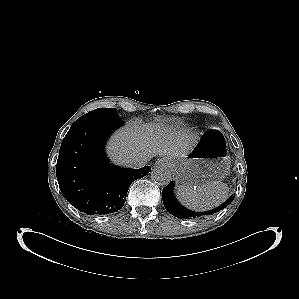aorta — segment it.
Segmentation results:
<instances>
[{
	"mask_svg": "<svg viewBox=\"0 0 299 299\" xmlns=\"http://www.w3.org/2000/svg\"><path fill=\"white\" fill-rule=\"evenodd\" d=\"M151 178L154 182L160 185H167L171 181V171L165 167L155 168L151 172Z\"/></svg>",
	"mask_w": 299,
	"mask_h": 299,
	"instance_id": "obj_1",
	"label": "aorta"
}]
</instances>
